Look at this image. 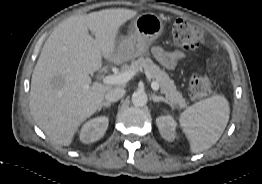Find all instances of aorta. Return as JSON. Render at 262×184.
Listing matches in <instances>:
<instances>
[{"mask_svg": "<svg viewBox=\"0 0 262 184\" xmlns=\"http://www.w3.org/2000/svg\"><path fill=\"white\" fill-rule=\"evenodd\" d=\"M147 101L148 97L144 91L138 90L132 94V103L134 106L143 107L147 104Z\"/></svg>", "mask_w": 262, "mask_h": 184, "instance_id": "762f6f07", "label": "aorta"}]
</instances>
